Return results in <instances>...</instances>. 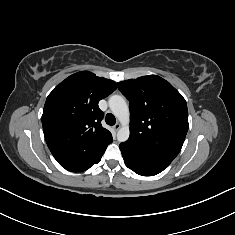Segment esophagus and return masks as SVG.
Listing matches in <instances>:
<instances>
[{
  "instance_id": "1",
  "label": "esophagus",
  "mask_w": 235,
  "mask_h": 235,
  "mask_svg": "<svg viewBox=\"0 0 235 235\" xmlns=\"http://www.w3.org/2000/svg\"><path fill=\"white\" fill-rule=\"evenodd\" d=\"M121 125L119 123H116L113 128L115 131H118L120 129Z\"/></svg>"
}]
</instances>
